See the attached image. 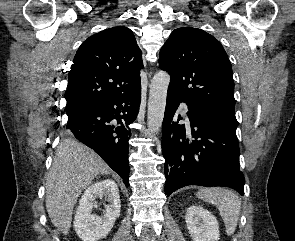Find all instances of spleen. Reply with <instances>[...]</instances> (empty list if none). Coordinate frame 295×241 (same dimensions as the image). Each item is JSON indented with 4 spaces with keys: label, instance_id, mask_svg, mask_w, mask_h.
Listing matches in <instances>:
<instances>
[{
    "label": "spleen",
    "instance_id": "spleen-1",
    "mask_svg": "<svg viewBox=\"0 0 295 241\" xmlns=\"http://www.w3.org/2000/svg\"><path fill=\"white\" fill-rule=\"evenodd\" d=\"M196 196L218 207L226 232L232 235L236 230L241 210V201L238 196L224 188H204L198 191Z\"/></svg>",
    "mask_w": 295,
    "mask_h": 241
}]
</instances>
